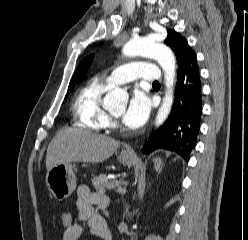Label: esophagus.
Segmentation results:
<instances>
[{"instance_id":"34e87169","label":"esophagus","mask_w":248,"mask_h":240,"mask_svg":"<svg viewBox=\"0 0 248 240\" xmlns=\"http://www.w3.org/2000/svg\"><path fill=\"white\" fill-rule=\"evenodd\" d=\"M125 153H131V150H126Z\"/></svg>"}]
</instances>
